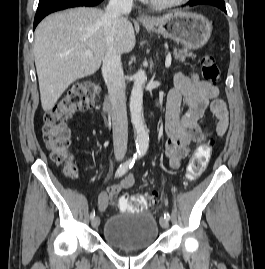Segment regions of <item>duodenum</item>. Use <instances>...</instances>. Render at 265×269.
<instances>
[{
	"label": "duodenum",
	"mask_w": 265,
	"mask_h": 269,
	"mask_svg": "<svg viewBox=\"0 0 265 269\" xmlns=\"http://www.w3.org/2000/svg\"><path fill=\"white\" fill-rule=\"evenodd\" d=\"M104 109L105 111L109 112L112 109V102H111V95L108 94L106 96L105 102H104Z\"/></svg>",
	"instance_id": "1"
}]
</instances>
